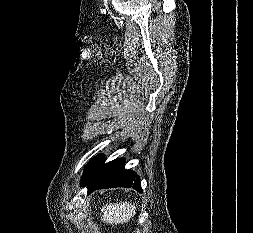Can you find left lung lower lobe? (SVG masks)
Here are the masks:
<instances>
[{"label": "left lung lower lobe", "mask_w": 253, "mask_h": 233, "mask_svg": "<svg viewBox=\"0 0 253 233\" xmlns=\"http://www.w3.org/2000/svg\"><path fill=\"white\" fill-rule=\"evenodd\" d=\"M124 160L117 159L104 163V155H99L89 175L81 181L87 185L88 194L103 188L133 187L142 192L139 177L132 170L124 169Z\"/></svg>", "instance_id": "left-lung-lower-lobe-1"}]
</instances>
